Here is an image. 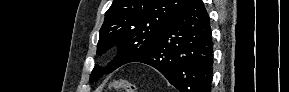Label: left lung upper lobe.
I'll list each match as a JSON object with an SVG mask.
<instances>
[{"mask_svg": "<svg viewBox=\"0 0 289 92\" xmlns=\"http://www.w3.org/2000/svg\"><path fill=\"white\" fill-rule=\"evenodd\" d=\"M189 0H114L99 32L97 54L117 44L120 49L105 69L95 66L90 82L148 51Z\"/></svg>", "mask_w": 289, "mask_h": 92, "instance_id": "1", "label": "left lung upper lobe"}]
</instances>
